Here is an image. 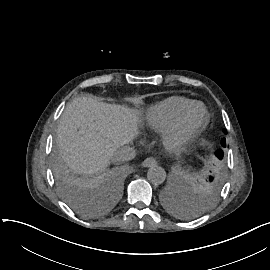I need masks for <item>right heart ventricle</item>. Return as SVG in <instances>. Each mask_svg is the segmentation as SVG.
Wrapping results in <instances>:
<instances>
[{"label": "right heart ventricle", "mask_w": 270, "mask_h": 270, "mask_svg": "<svg viewBox=\"0 0 270 270\" xmlns=\"http://www.w3.org/2000/svg\"><path fill=\"white\" fill-rule=\"evenodd\" d=\"M194 100L170 96L152 105L147 113V125L155 133H162L191 105Z\"/></svg>", "instance_id": "1"}]
</instances>
